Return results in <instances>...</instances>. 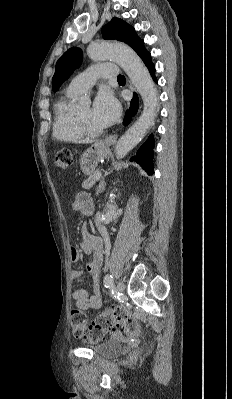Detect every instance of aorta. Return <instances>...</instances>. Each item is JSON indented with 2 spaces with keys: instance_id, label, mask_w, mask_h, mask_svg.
Returning <instances> with one entry per match:
<instances>
[{
  "instance_id": "1",
  "label": "aorta",
  "mask_w": 232,
  "mask_h": 399,
  "mask_svg": "<svg viewBox=\"0 0 232 399\" xmlns=\"http://www.w3.org/2000/svg\"><path fill=\"white\" fill-rule=\"evenodd\" d=\"M87 53L95 61L107 58L114 60L128 75L143 99L144 109L141 116L124 133L115 146L116 158H124L144 138L154 124L158 107L157 90L147 68L129 46L122 43L101 41L92 43L88 47ZM116 210V205L108 202L105 212L101 215L102 223H110L116 216Z\"/></svg>"
}]
</instances>
